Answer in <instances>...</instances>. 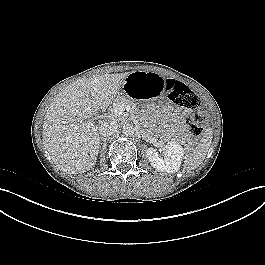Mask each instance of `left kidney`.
I'll return each instance as SVG.
<instances>
[{
    "label": "left kidney",
    "mask_w": 265,
    "mask_h": 265,
    "mask_svg": "<svg viewBox=\"0 0 265 265\" xmlns=\"http://www.w3.org/2000/svg\"><path fill=\"white\" fill-rule=\"evenodd\" d=\"M164 158L159 155L157 150L150 147L146 151V156L150 164L159 171L175 173L180 169L184 155L183 147L176 141H169L164 146Z\"/></svg>",
    "instance_id": "left-kidney-1"
}]
</instances>
